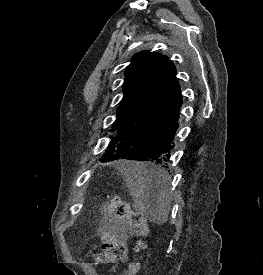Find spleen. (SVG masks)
<instances>
[{"label":"spleen","instance_id":"obj_1","mask_svg":"<svg viewBox=\"0 0 263 275\" xmlns=\"http://www.w3.org/2000/svg\"><path fill=\"white\" fill-rule=\"evenodd\" d=\"M118 168L134 197L135 206L151 222L165 223L170 208L168 173L144 162L122 161Z\"/></svg>","mask_w":263,"mask_h":275}]
</instances>
